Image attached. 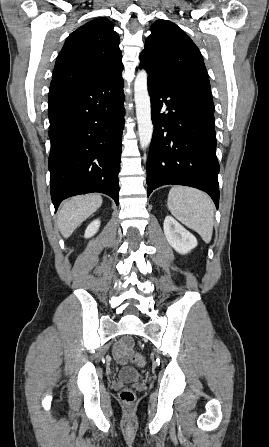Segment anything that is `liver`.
I'll return each mask as SVG.
<instances>
[{
	"label": "liver",
	"instance_id": "6515ba94",
	"mask_svg": "<svg viewBox=\"0 0 269 447\" xmlns=\"http://www.w3.org/2000/svg\"><path fill=\"white\" fill-rule=\"evenodd\" d=\"M102 202L100 194H86L66 200L59 210L57 220L58 229L63 237H69L78 225L100 208Z\"/></svg>",
	"mask_w": 269,
	"mask_h": 447
}]
</instances>
